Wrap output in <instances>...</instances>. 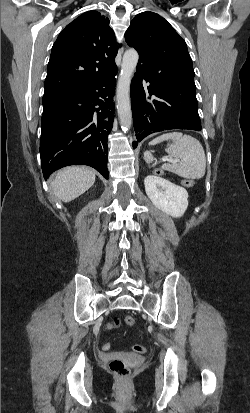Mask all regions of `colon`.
Returning a JSON list of instances; mask_svg holds the SVG:
<instances>
[{
	"mask_svg": "<svg viewBox=\"0 0 250 413\" xmlns=\"http://www.w3.org/2000/svg\"><path fill=\"white\" fill-rule=\"evenodd\" d=\"M154 175L156 177H163L165 175V170L163 168H156L154 170ZM178 184L181 185L182 187H191L194 185V181L188 180L187 178H182L181 180L178 181ZM121 324H125L127 326H133L135 324V319L134 317L127 315L123 317L122 319L116 318L114 322L112 321H107L106 322V327L107 328H112L118 327ZM111 347V344L108 341H105L102 343V348L103 351H108V349ZM133 351L136 353H144L146 351V347L140 344H135L132 347ZM109 369L110 371L121 381H125L129 378L130 376V369L128 365L120 358H114L109 362Z\"/></svg>",
	"mask_w": 250,
	"mask_h": 413,
	"instance_id": "colon-1",
	"label": "colon"
}]
</instances>
